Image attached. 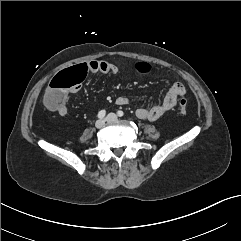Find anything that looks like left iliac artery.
Returning <instances> with one entry per match:
<instances>
[{
  "label": "left iliac artery",
  "mask_w": 241,
  "mask_h": 241,
  "mask_svg": "<svg viewBox=\"0 0 241 241\" xmlns=\"http://www.w3.org/2000/svg\"><path fill=\"white\" fill-rule=\"evenodd\" d=\"M117 115H118L119 117H122V116L124 115V112L121 111V110H119V111L117 112Z\"/></svg>",
  "instance_id": "obj_1"
}]
</instances>
